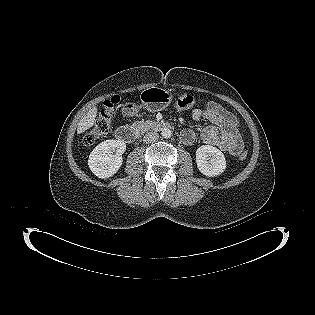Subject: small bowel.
Returning <instances> with one entry per match:
<instances>
[{"mask_svg":"<svg viewBox=\"0 0 315 315\" xmlns=\"http://www.w3.org/2000/svg\"><path fill=\"white\" fill-rule=\"evenodd\" d=\"M192 117L195 121L209 122L200 134L203 143L218 147L232 155H238L242 151L243 142L237 119L222 105L210 101L204 108L194 109ZM181 140L186 145H192L196 140V134L191 129H185L181 132Z\"/></svg>","mask_w":315,"mask_h":315,"instance_id":"obj_1","label":"small bowel"}]
</instances>
